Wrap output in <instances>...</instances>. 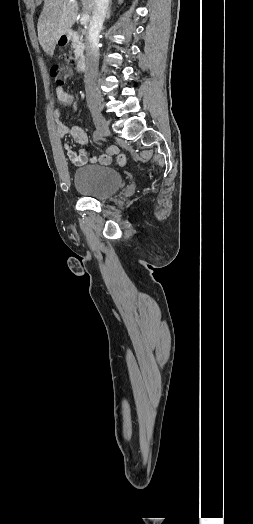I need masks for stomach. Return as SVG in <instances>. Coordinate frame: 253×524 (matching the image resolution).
<instances>
[{"label":"stomach","instance_id":"stomach-1","mask_svg":"<svg viewBox=\"0 0 253 524\" xmlns=\"http://www.w3.org/2000/svg\"><path fill=\"white\" fill-rule=\"evenodd\" d=\"M70 40V36L68 34L62 35L58 41L57 44L60 46H66Z\"/></svg>","mask_w":253,"mask_h":524}]
</instances>
